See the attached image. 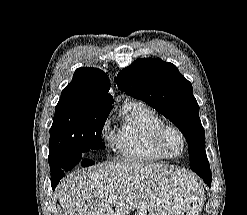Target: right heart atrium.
<instances>
[{"mask_svg":"<svg viewBox=\"0 0 247 215\" xmlns=\"http://www.w3.org/2000/svg\"><path fill=\"white\" fill-rule=\"evenodd\" d=\"M108 130H109V122H108V121H105V122L102 124L101 131H102V133H103L104 135H107Z\"/></svg>","mask_w":247,"mask_h":215,"instance_id":"right-heart-atrium-1","label":"right heart atrium"}]
</instances>
